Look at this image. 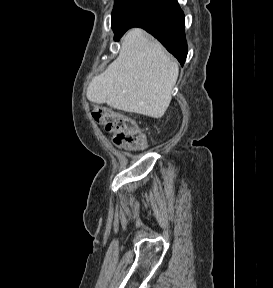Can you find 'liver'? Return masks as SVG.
Listing matches in <instances>:
<instances>
[{"mask_svg":"<svg viewBox=\"0 0 273 288\" xmlns=\"http://www.w3.org/2000/svg\"><path fill=\"white\" fill-rule=\"evenodd\" d=\"M178 64L140 28L124 37L119 56L87 88V98L117 110L161 118L172 99Z\"/></svg>","mask_w":273,"mask_h":288,"instance_id":"liver-1","label":"liver"}]
</instances>
